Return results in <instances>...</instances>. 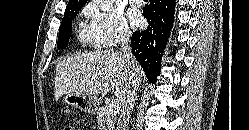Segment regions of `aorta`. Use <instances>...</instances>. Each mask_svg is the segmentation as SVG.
I'll return each instance as SVG.
<instances>
[{"label": "aorta", "mask_w": 249, "mask_h": 130, "mask_svg": "<svg viewBox=\"0 0 249 130\" xmlns=\"http://www.w3.org/2000/svg\"><path fill=\"white\" fill-rule=\"evenodd\" d=\"M97 5L103 11H109L113 5L114 0H96Z\"/></svg>", "instance_id": "1"}]
</instances>
